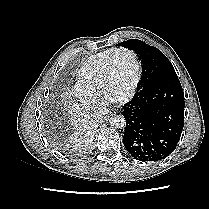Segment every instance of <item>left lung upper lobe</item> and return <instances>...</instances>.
<instances>
[{
	"label": "left lung upper lobe",
	"mask_w": 209,
	"mask_h": 209,
	"mask_svg": "<svg viewBox=\"0 0 209 209\" xmlns=\"http://www.w3.org/2000/svg\"><path fill=\"white\" fill-rule=\"evenodd\" d=\"M119 45L134 50L142 59L144 80L139 90L150 89L168 78L177 77L171 62L159 49L138 39L123 41Z\"/></svg>",
	"instance_id": "1"
}]
</instances>
